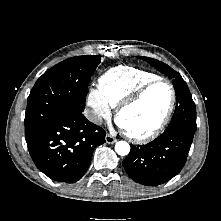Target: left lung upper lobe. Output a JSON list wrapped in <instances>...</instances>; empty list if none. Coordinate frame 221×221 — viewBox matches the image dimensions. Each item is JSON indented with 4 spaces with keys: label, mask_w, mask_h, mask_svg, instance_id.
Segmentation results:
<instances>
[{
    "label": "left lung upper lobe",
    "mask_w": 221,
    "mask_h": 221,
    "mask_svg": "<svg viewBox=\"0 0 221 221\" xmlns=\"http://www.w3.org/2000/svg\"><path fill=\"white\" fill-rule=\"evenodd\" d=\"M150 63L163 74L173 79V86L176 94V109L172 120L167 129H176L178 127L196 130V109L191 93L186 82L171 67L163 62L149 57H138Z\"/></svg>",
    "instance_id": "left-lung-upper-lobe-1"
}]
</instances>
